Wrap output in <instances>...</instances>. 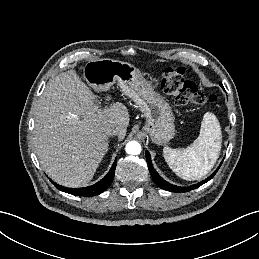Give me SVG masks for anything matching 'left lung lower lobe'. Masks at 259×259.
<instances>
[{
	"instance_id": "obj_1",
	"label": "left lung lower lobe",
	"mask_w": 259,
	"mask_h": 259,
	"mask_svg": "<svg viewBox=\"0 0 259 259\" xmlns=\"http://www.w3.org/2000/svg\"><path fill=\"white\" fill-rule=\"evenodd\" d=\"M146 159H147V163H148V168H149V172L154 180V182L162 189L171 191V192H188L190 190L196 189L199 186L205 184L206 182H208L210 179H212L214 177V175L216 174L217 169L211 176H209L207 179L203 180L202 182H199L195 185L189 186V187H179L173 184L168 183L167 181L163 180V178H161L159 176V174L154 170V168L152 167V162H151V156L149 154V152H146Z\"/></svg>"
}]
</instances>
